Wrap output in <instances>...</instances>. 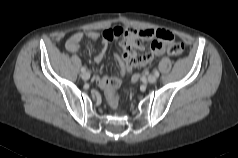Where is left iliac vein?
I'll return each instance as SVG.
<instances>
[{"label":"left iliac vein","mask_w":238,"mask_h":158,"mask_svg":"<svg viewBox=\"0 0 238 158\" xmlns=\"http://www.w3.org/2000/svg\"><path fill=\"white\" fill-rule=\"evenodd\" d=\"M157 81V77L154 74H151L148 76V82L149 83H155Z\"/></svg>","instance_id":"obj_1"}]
</instances>
